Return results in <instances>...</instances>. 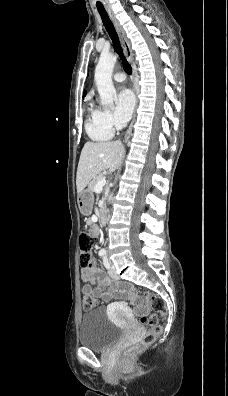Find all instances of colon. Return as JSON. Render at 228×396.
I'll list each match as a JSON object with an SVG mask.
<instances>
[{"instance_id":"1","label":"colon","mask_w":228,"mask_h":396,"mask_svg":"<svg viewBox=\"0 0 228 396\" xmlns=\"http://www.w3.org/2000/svg\"><path fill=\"white\" fill-rule=\"evenodd\" d=\"M78 243L81 266L83 268H87L94 261V257L89 248V235L85 228L80 231ZM142 298L152 310V313L142 317L141 321L146 326V331L139 338V340L133 344V346L130 348V351H137L148 345H151L161 332V326L159 324L157 314L165 312L166 307L164 301L150 291H145L142 295ZM82 306L84 310H92L99 306V301L94 296L85 294L83 296Z\"/></svg>"}]
</instances>
